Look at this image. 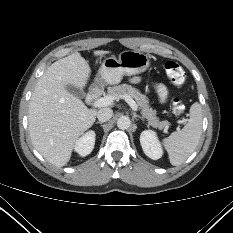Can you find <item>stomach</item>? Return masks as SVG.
Here are the masks:
<instances>
[{"label":"stomach","mask_w":233,"mask_h":233,"mask_svg":"<svg viewBox=\"0 0 233 233\" xmlns=\"http://www.w3.org/2000/svg\"><path fill=\"white\" fill-rule=\"evenodd\" d=\"M150 60L148 56L139 51H123L118 58H106L99 68L96 82L98 84L115 85L121 82L124 75L140 74L148 69Z\"/></svg>","instance_id":"stomach-1"}]
</instances>
